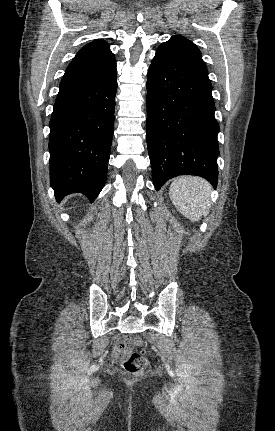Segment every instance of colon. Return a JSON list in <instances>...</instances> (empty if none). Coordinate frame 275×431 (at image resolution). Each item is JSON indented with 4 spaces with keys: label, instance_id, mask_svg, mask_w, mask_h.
<instances>
[{
    "label": "colon",
    "instance_id": "1",
    "mask_svg": "<svg viewBox=\"0 0 275 431\" xmlns=\"http://www.w3.org/2000/svg\"><path fill=\"white\" fill-rule=\"evenodd\" d=\"M125 344L129 347L140 346L142 340L140 337L136 336L133 338L125 339ZM147 365V359L142 352H133L124 361V369L132 374L140 373Z\"/></svg>",
    "mask_w": 275,
    "mask_h": 431
}]
</instances>
